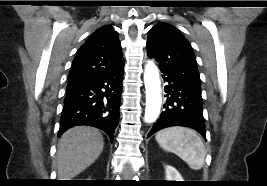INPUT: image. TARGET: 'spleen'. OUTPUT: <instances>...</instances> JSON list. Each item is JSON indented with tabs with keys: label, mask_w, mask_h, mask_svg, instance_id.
<instances>
[{
	"label": "spleen",
	"mask_w": 267,
	"mask_h": 186,
	"mask_svg": "<svg viewBox=\"0 0 267 186\" xmlns=\"http://www.w3.org/2000/svg\"><path fill=\"white\" fill-rule=\"evenodd\" d=\"M156 141L166 151L179 156L193 170L205 163L206 150L201 137L193 129L170 127L156 133Z\"/></svg>",
	"instance_id": "3e777b00"
}]
</instances>
